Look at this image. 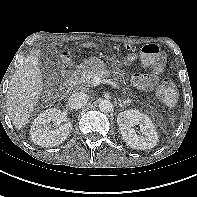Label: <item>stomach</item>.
Returning <instances> with one entry per match:
<instances>
[{
    "mask_svg": "<svg viewBox=\"0 0 197 197\" xmlns=\"http://www.w3.org/2000/svg\"><path fill=\"white\" fill-rule=\"evenodd\" d=\"M134 60H135V56L129 55V56H127V58H125L123 60L122 63H115V65L121 66L123 64L125 66H128ZM84 64L88 70H100V69H104V67H105V64L103 63V61H101L100 59H98L96 57H91V58L85 60Z\"/></svg>",
    "mask_w": 197,
    "mask_h": 197,
    "instance_id": "0dacf381",
    "label": "stomach"
}]
</instances>
